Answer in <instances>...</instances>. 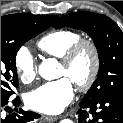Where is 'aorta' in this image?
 <instances>
[{"mask_svg":"<svg viewBox=\"0 0 123 123\" xmlns=\"http://www.w3.org/2000/svg\"><path fill=\"white\" fill-rule=\"evenodd\" d=\"M57 60L54 58L45 59L38 67L40 76L45 80H52L56 77ZM60 123H73L70 119H63Z\"/></svg>","mask_w":123,"mask_h":123,"instance_id":"762f6f07","label":"aorta"}]
</instances>
